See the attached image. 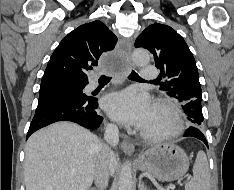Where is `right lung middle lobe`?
<instances>
[{"mask_svg":"<svg viewBox=\"0 0 234 190\" xmlns=\"http://www.w3.org/2000/svg\"><path fill=\"white\" fill-rule=\"evenodd\" d=\"M82 89V86L73 84L71 81L63 79H49L41 82L39 100L56 91H70L76 95H83L84 98H87V96L82 93Z\"/></svg>","mask_w":234,"mask_h":190,"instance_id":"dd1d6c3e","label":"right lung middle lobe"}]
</instances>
